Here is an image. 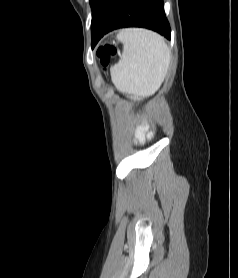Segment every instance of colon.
<instances>
[{
	"label": "colon",
	"mask_w": 238,
	"mask_h": 278,
	"mask_svg": "<svg viewBox=\"0 0 238 278\" xmlns=\"http://www.w3.org/2000/svg\"><path fill=\"white\" fill-rule=\"evenodd\" d=\"M116 48L115 46L109 44L106 45L105 47H102L98 51V57L101 61L102 64H107L110 60V57L115 54Z\"/></svg>",
	"instance_id": "colon-1"
}]
</instances>
